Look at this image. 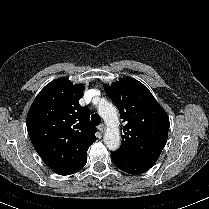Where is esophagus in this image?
Wrapping results in <instances>:
<instances>
[{
    "label": "esophagus",
    "mask_w": 209,
    "mask_h": 209,
    "mask_svg": "<svg viewBox=\"0 0 209 209\" xmlns=\"http://www.w3.org/2000/svg\"><path fill=\"white\" fill-rule=\"evenodd\" d=\"M99 131L101 133H103L105 131V125L104 124H101L99 127H98Z\"/></svg>",
    "instance_id": "34e87169"
}]
</instances>
